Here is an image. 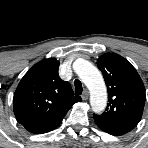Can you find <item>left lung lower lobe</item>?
I'll return each mask as SVG.
<instances>
[{
    "instance_id": "1",
    "label": "left lung lower lobe",
    "mask_w": 148,
    "mask_h": 148,
    "mask_svg": "<svg viewBox=\"0 0 148 148\" xmlns=\"http://www.w3.org/2000/svg\"><path fill=\"white\" fill-rule=\"evenodd\" d=\"M103 131L109 133V134H112V135H121V134H124L125 132H122L121 130H118V129H115V128H112L110 126H99Z\"/></svg>"
}]
</instances>
